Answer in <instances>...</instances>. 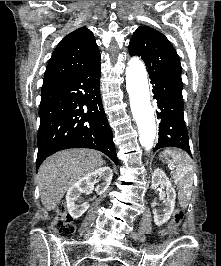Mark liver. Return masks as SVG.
I'll return each mask as SVG.
<instances>
[{"mask_svg": "<svg viewBox=\"0 0 221 266\" xmlns=\"http://www.w3.org/2000/svg\"><path fill=\"white\" fill-rule=\"evenodd\" d=\"M104 162L101 153L91 149L65 150L46 159L38 171L40 197L45 209H55L72 184Z\"/></svg>", "mask_w": 221, "mask_h": 266, "instance_id": "obj_1", "label": "liver"}]
</instances>
